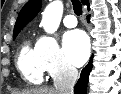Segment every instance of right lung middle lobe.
Segmentation results:
<instances>
[{
	"label": "right lung middle lobe",
	"instance_id": "1",
	"mask_svg": "<svg viewBox=\"0 0 121 94\" xmlns=\"http://www.w3.org/2000/svg\"><path fill=\"white\" fill-rule=\"evenodd\" d=\"M19 32L14 33V38L18 35Z\"/></svg>",
	"mask_w": 121,
	"mask_h": 94
}]
</instances>
